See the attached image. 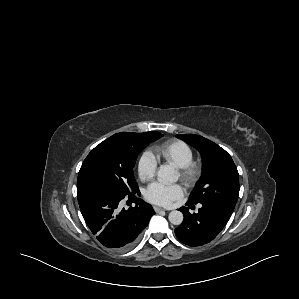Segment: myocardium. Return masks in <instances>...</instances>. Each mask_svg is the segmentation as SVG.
<instances>
[{"label": "myocardium", "mask_w": 299, "mask_h": 299, "mask_svg": "<svg viewBox=\"0 0 299 299\" xmlns=\"http://www.w3.org/2000/svg\"><path fill=\"white\" fill-rule=\"evenodd\" d=\"M202 173V165L198 161H190L186 165L178 168L180 179L186 185H194L200 178Z\"/></svg>", "instance_id": "f54148a6"}]
</instances>
